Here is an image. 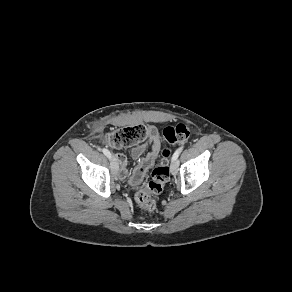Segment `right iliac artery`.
I'll use <instances>...</instances> for the list:
<instances>
[{
  "label": "right iliac artery",
  "mask_w": 292,
  "mask_h": 292,
  "mask_svg": "<svg viewBox=\"0 0 292 292\" xmlns=\"http://www.w3.org/2000/svg\"><path fill=\"white\" fill-rule=\"evenodd\" d=\"M102 152L109 158V159H111V153L107 150V149H105V148H103L102 149Z\"/></svg>",
  "instance_id": "1"
}]
</instances>
